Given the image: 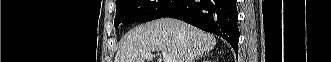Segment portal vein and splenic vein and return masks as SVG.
Here are the masks:
<instances>
[{"label":"portal vein and splenic vein","instance_id":"18ae733b","mask_svg":"<svg viewBox=\"0 0 331 62\" xmlns=\"http://www.w3.org/2000/svg\"><path fill=\"white\" fill-rule=\"evenodd\" d=\"M163 55V60L164 62H175V56L172 54H168L166 51H162ZM152 58V53H146L143 56V59H151Z\"/></svg>","mask_w":331,"mask_h":62}]
</instances>
